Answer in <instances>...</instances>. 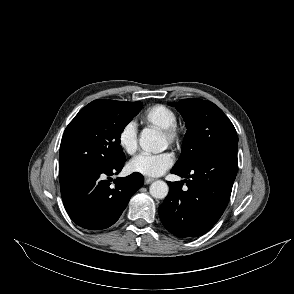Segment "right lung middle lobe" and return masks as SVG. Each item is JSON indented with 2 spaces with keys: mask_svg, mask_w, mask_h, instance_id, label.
<instances>
[{
  "mask_svg": "<svg viewBox=\"0 0 294 294\" xmlns=\"http://www.w3.org/2000/svg\"><path fill=\"white\" fill-rule=\"evenodd\" d=\"M142 106L141 102L112 100H95L86 105L63 134L59 173L126 161L120 136Z\"/></svg>",
  "mask_w": 294,
  "mask_h": 294,
  "instance_id": "1",
  "label": "right lung middle lobe"
}]
</instances>
